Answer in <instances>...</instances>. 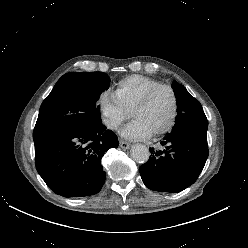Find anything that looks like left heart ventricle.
Here are the masks:
<instances>
[{"instance_id": "1", "label": "left heart ventricle", "mask_w": 248, "mask_h": 248, "mask_svg": "<svg viewBox=\"0 0 248 248\" xmlns=\"http://www.w3.org/2000/svg\"><path fill=\"white\" fill-rule=\"evenodd\" d=\"M173 109L171 93L161 89L154 94L149 103L132 113V118L139 120L152 134L164 127L169 121Z\"/></svg>"}]
</instances>
